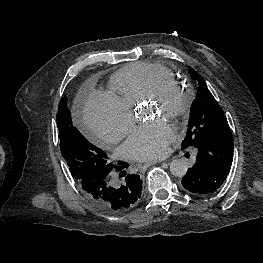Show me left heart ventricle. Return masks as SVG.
Listing matches in <instances>:
<instances>
[{
	"label": "left heart ventricle",
	"instance_id": "obj_1",
	"mask_svg": "<svg viewBox=\"0 0 263 263\" xmlns=\"http://www.w3.org/2000/svg\"><path fill=\"white\" fill-rule=\"evenodd\" d=\"M175 102V98H171L165 105L150 103L148 109L150 114H153L154 116H157L158 114L164 115V109L167 107H172L175 104Z\"/></svg>",
	"mask_w": 263,
	"mask_h": 263
}]
</instances>
